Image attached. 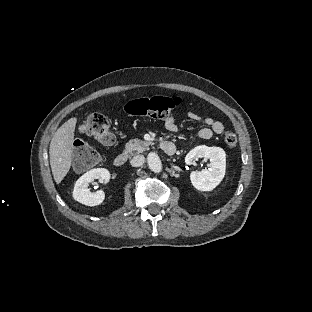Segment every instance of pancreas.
<instances>
[{
  "label": "pancreas",
  "instance_id": "1",
  "mask_svg": "<svg viewBox=\"0 0 312 312\" xmlns=\"http://www.w3.org/2000/svg\"><path fill=\"white\" fill-rule=\"evenodd\" d=\"M152 142H144L139 139L130 140L123 151V154L127 155L128 157H132L134 155H138L143 153Z\"/></svg>",
  "mask_w": 312,
  "mask_h": 312
}]
</instances>
